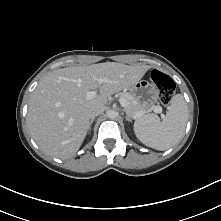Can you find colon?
Masks as SVG:
<instances>
[{
    "label": "colon",
    "instance_id": "obj_1",
    "mask_svg": "<svg viewBox=\"0 0 221 221\" xmlns=\"http://www.w3.org/2000/svg\"><path fill=\"white\" fill-rule=\"evenodd\" d=\"M151 80L159 89V100L167 106L175 93V83L173 79L159 70H153L150 74Z\"/></svg>",
    "mask_w": 221,
    "mask_h": 221
}]
</instances>
